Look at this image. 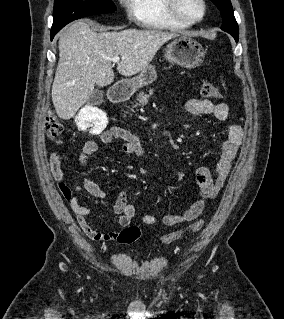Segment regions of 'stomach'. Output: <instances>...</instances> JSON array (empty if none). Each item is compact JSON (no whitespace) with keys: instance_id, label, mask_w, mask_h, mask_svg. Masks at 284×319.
<instances>
[{"instance_id":"0dacf381","label":"stomach","mask_w":284,"mask_h":319,"mask_svg":"<svg viewBox=\"0 0 284 319\" xmlns=\"http://www.w3.org/2000/svg\"><path fill=\"white\" fill-rule=\"evenodd\" d=\"M205 57V51L200 43L196 40L178 36L169 43L165 50V59L171 63H175L185 68H194L199 66ZM157 73L155 68L149 65L140 75L132 79L125 80V84L132 92L143 86H146L155 81Z\"/></svg>"}]
</instances>
